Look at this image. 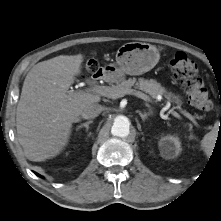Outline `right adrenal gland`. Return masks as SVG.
Masks as SVG:
<instances>
[{
	"label": "right adrenal gland",
	"mask_w": 221,
	"mask_h": 221,
	"mask_svg": "<svg viewBox=\"0 0 221 221\" xmlns=\"http://www.w3.org/2000/svg\"><path fill=\"white\" fill-rule=\"evenodd\" d=\"M91 123H92V121H87V122H85V123H82V124H80L79 126H77L76 130H79V129L85 127V128H86V131H88V129H89V124H91Z\"/></svg>",
	"instance_id": "2a0ac1e0"
}]
</instances>
